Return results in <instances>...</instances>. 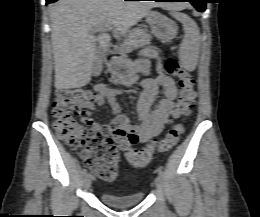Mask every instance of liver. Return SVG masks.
<instances>
[{
  "instance_id": "obj_1",
  "label": "liver",
  "mask_w": 260,
  "mask_h": 217,
  "mask_svg": "<svg viewBox=\"0 0 260 217\" xmlns=\"http://www.w3.org/2000/svg\"><path fill=\"white\" fill-rule=\"evenodd\" d=\"M154 7L179 10L184 6L123 0H59L51 5L55 88H78L90 82L96 41L104 50L108 49L110 42L108 34L95 38L92 29L110 24L117 28L119 36H124Z\"/></svg>"
}]
</instances>
